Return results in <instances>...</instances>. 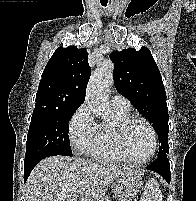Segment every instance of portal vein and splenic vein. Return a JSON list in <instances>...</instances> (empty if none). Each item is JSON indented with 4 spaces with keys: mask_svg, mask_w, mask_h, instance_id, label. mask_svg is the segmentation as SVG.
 Segmentation results:
<instances>
[{
    "mask_svg": "<svg viewBox=\"0 0 196 201\" xmlns=\"http://www.w3.org/2000/svg\"><path fill=\"white\" fill-rule=\"evenodd\" d=\"M78 193H79V194H82V190H79Z\"/></svg>",
    "mask_w": 196,
    "mask_h": 201,
    "instance_id": "portal-vein-and-splenic-vein-1",
    "label": "portal vein and splenic vein"
}]
</instances>
